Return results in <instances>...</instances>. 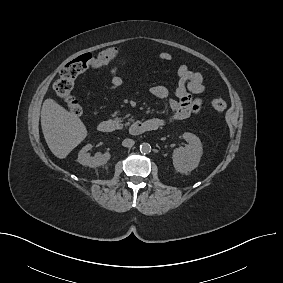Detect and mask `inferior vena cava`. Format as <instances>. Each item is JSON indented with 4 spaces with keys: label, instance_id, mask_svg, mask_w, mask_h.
Segmentation results:
<instances>
[{
    "label": "inferior vena cava",
    "instance_id": "1",
    "mask_svg": "<svg viewBox=\"0 0 283 283\" xmlns=\"http://www.w3.org/2000/svg\"><path fill=\"white\" fill-rule=\"evenodd\" d=\"M134 143H135L134 140L127 138L123 140L122 145L124 147L131 148L134 145Z\"/></svg>",
    "mask_w": 283,
    "mask_h": 283
}]
</instances>
